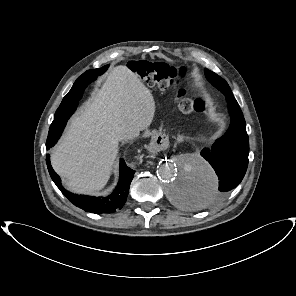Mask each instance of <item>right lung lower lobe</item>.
Listing matches in <instances>:
<instances>
[{
  "label": "right lung lower lobe",
  "instance_id": "right-lung-lower-lobe-1",
  "mask_svg": "<svg viewBox=\"0 0 296 296\" xmlns=\"http://www.w3.org/2000/svg\"><path fill=\"white\" fill-rule=\"evenodd\" d=\"M89 71V70H88ZM86 71L82 74L74 83L72 90L76 91L77 94H83L86 86L94 81L98 75L88 74ZM70 111L66 110L62 113L61 120H54L50 126L48 138L46 142L47 149L51 148L59 139L63 128L65 126V119L68 116ZM47 167L50 173V176L59 190L63 195L75 206L85 210L86 212H92L97 214L102 213H113L120 210L126 202L130 183L133 179L134 172L128 166L123 159L120 160V176L119 182L115 190L107 197H91L85 195L73 194L65 190L61 185V180L59 176L52 169L50 164V155H47L46 158Z\"/></svg>",
  "mask_w": 296,
  "mask_h": 296
}]
</instances>
